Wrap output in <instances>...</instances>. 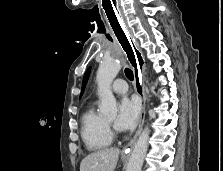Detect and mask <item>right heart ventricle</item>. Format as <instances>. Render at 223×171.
<instances>
[{
  "mask_svg": "<svg viewBox=\"0 0 223 171\" xmlns=\"http://www.w3.org/2000/svg\"><path fill=\"white\" fill-rule=\"evenodd\" d=\"M81 137L89 151H99L112 143V133L106 119L93 105L87 107L81 117Z\"/></svg>",
  "mask_w": 223,
  "mask_h": 171,
  "instance_id": "e07e8e85",
  "label": "right heart ventricle"
}]
</instances>
